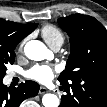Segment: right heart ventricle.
<instances>
[{"instance_id":"1","label":"right heart ventricle","mask_w":107,"mask_h":107,"mask_svg":"<svg viewBox=\"0 0 107 107\" xmlns=\"http://www.w3.org/2000/svg\"><path fill=\"white\" fill-rule=\"evenodd\" d=\"M41 35L50 47L62 45L64 42V35L62 31L55 25H44L41 28Z\"/></svg>"}]
</instances>
